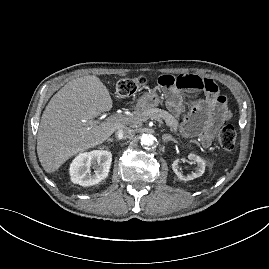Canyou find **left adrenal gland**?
I'll use <instances>...</instances> for the list:
<instances>
[{
    "instance_id": "obj_1",
    "label": "left adrenal gland",
    "mask_w": 269,
    "mask_h": 269,
    "mask_svg": "<svg viewBox=\"0 0 269 269\" xmlns=\"http://www.w3.org/2000/svg\"><path fill=\"white\" fill-rule=\"evenodd\" d=\"M162 140H163L164 143H166L168 141H173L174 143H178V141L175 138H173L171 135H169V134H164L162 136Z\"/></svg>"
}]
</instances>
